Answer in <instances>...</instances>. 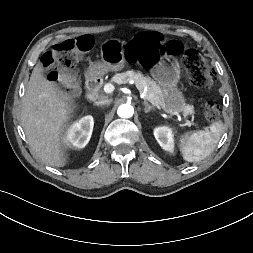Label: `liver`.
<instances>
[{
	"label": "liver",
	"instance_id": "1",
	"mask_svg": "<svg viewBox=\"0 0 253 253\" xmlns=\"http://www.w3.org/2000/svg\"><path fill=\"white\" fill-rule=\"evenodd\" d=\"M37 64L22 100L21 125L34 154L45 164L67 163L66 133L75 105L48 81Z\"/></svg>",
	"mask_w": 253,
	"mask_h": 253
}]
</instances>
